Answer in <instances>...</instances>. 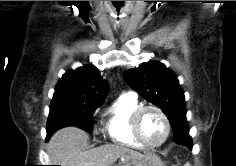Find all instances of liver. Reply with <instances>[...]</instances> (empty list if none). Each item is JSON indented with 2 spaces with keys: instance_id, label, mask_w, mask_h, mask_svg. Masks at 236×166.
I'll list each match as a JSON object with an SVG mask.
<instances>
[{
  "instance_id": "1",
  "label": "liver",
  "mask_w": 236,
  "mask_h": 166,
  "mask_svg": "<svg viewBox=\"0 0 236 166\" xmlns=\"http://www.w3.org/2000/svg\"><path fill=\"white\" fill-rule=\"evenodd\" d=\"M88 135L77 127L56 131L47 144V153L53 165L112 166L119 158L140 166L145 155L122 145L107 144L87 149Z\"/></svg>"
}]
</instances>
